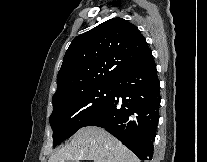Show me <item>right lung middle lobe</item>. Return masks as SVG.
I'll list each match as a JSON object with an SVG mask.
<instances>
[{"instance_id": "obj_1", "label": "right lung middle lobe", "mask_w": 207, "mask_h": 162, "mask_svg": "<svg viewBox=\"0 0 207 162\" xmlns=\"http://www.w3.org/2000/svg\"><path fill=\"white\" fill-rule=\"evenodd\" d=\"M113 92V84H108L53 99V112L49 120L53 129V146L83 127L109 101Z\"/></svg>"}]
</instances>
